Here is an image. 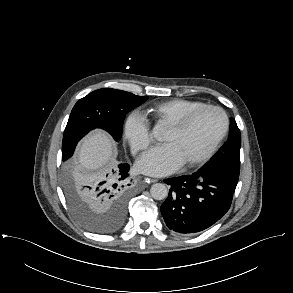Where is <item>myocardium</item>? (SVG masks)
Wrapping results in <instances>:
<instances>
[{"mask_svg":"<svg viewBox=\"0 0 293 293\" xmlns=\"http://www.w3.org/2000/svg\"><path fill=\"white\" fill-rule=\"evenodd\" d=\"M208 110L216 111L222 115L223 120H224L223 129H222L221 133L218 135V137L211 144V146L207 149V151L204 154H202L201 156H199L198 158H196L188 163H184L183 164L184 168L189 169V168L198 167V166L204 164L205 162H207L214 155V153L217 151L220 144L223 142V140L225 139V137L228 134L229 127H230V119H229L226 111L224 109H222L221 107L215 106V105H204L200 108H197V109L187 113L182 118H180L179 120L175 121L174 123L170 124L167 127L168 129H170L173 132H182L183 130H185L188 127V125L199 114H201L204 111H208Z\"/></svg>","mask_w":293,"mask_h":293,"instance_id":"1","label":"myocardium"}]
</instances>
